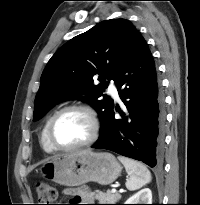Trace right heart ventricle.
I'll return each mask as SVG.
<instances>
[{
	"label": "right heart ventricle",
	"mask_w": 200,
	"mask_h": 205,
	"mask_svg": "<svg viewBox=\"0 0 200 205\" xmlns=\"http://www.w3.org/2000/svg\"><path fill=\"white\" fill-rule=\"evenodd\" d=\"M51 117H52V115H50L47 118V120L44 124V127L42 129V132H41V144H42L43 149L47 152L54 151V148L50 145L48 138H47V126H48V123H49Z\"/></svg>",
	"instance_id": "e07e8e85"
}]
</instances>
